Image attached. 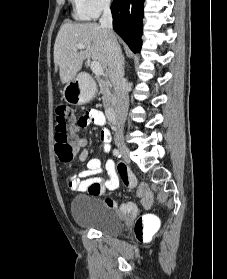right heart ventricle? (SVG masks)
Returning a JSON list of instances; mask_svg holds the SVG:
<instances>
[{
	"label": "right heart ventricle",
	"instance_id": "obj_1",
	"mask_svg": "<svg viewBox=\"0 0 227 279\" xmlns=\"http://www.w3.org/2000/svg\"><path fill=\"white\" fill-rule=\"evenodd\" d=\"M75 3V12L74 17L80 20L86 19L88 14L85 12V10L82 8L81 0H72Z\"/></svg>",
	"mask_w": 227,
	"mask_h": 279
}]
</instances>
